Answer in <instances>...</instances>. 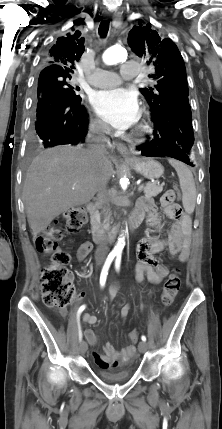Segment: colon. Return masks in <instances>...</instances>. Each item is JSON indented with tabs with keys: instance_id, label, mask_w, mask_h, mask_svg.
I'll list each match as a JSON object with an SVG mask.
<instances>
[{
	"instance_id": "obj_1",
	"label": "colon",
	"mask_w": 222,
	"mask_h": 429,
	"mask_svg": "<svg viewBox=\"0 0 222 429\" xmlns=\"http://www.w3.org/2000/svg\"><path fill=\"white\" fill-rule=\"evenodd\" d=\"M178 197V189L167 190L162 197V203L165 205L173 204ZM86 218V210L81 207L70 208L62 215V220L69 232L78 231L85 223ZM60 237V230L55 225H52L36 239L38 250L51 256L50 263L44 268L41 275L42 299L48 307L56 308L66 307L74 295L72 277L67 268L69 255L61 250L57 244ZM180 286V273L175 270L168 276L162 288L161 302L164 306L172 304L180 290ZM129 338L131 343L135 344L139 338L138 331H131Z\"/></svg>"
}]
</instances>
